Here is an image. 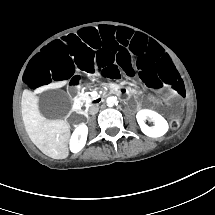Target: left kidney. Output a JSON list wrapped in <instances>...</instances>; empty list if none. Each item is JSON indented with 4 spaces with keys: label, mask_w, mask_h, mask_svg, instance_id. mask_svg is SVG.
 Wrapping results in <instances>:
<instances>
[{
    "label": "left kidney",
    "mask_w": 215,
    "mask_h": 215,
    "mask_svg": "<svg viewBox=\"0 0 215 215\" xmlns=\"http://www.w3.org/2000/svg\"><path fill=\"white\" fill-rule=\"evenodd\" d=\"M137 122L141 128V131L149 137H161L168 131V123L164 117L155 111L149 109H143L136 114ZM149 119L155 123L154 126L149 127L145 124V120Z\"/></svg>",
    "instance_id": "5707ae66"
}]
</instances>
